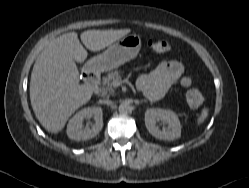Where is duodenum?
<instances>
[{
    "mask_svg": "<svg viewBox=\"0 0 249 188\" xmlns=\"http://www.w3.org/2000/svg\"><path fill=\"white\" fill-rule=\"evenodd\" d=\"M86 83L94 93H97L99 89V74L94 70H87Z\"/></svg>",
    "mask_w": 249,
    "mask_h": 188,
    "instance_id": "410a0bca",
    "label": "duodenum"
}]
</instances>
